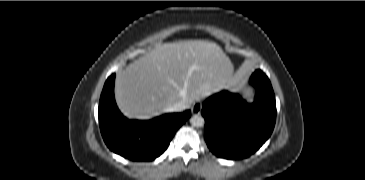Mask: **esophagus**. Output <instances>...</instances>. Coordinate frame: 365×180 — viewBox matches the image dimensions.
Here are the masks:
<instances>
[{"instance_id": "esophagus-1", "label": "esophagus", "mask_w": 365, "mask_h": 180, "mask_svg": "<svg viewBox=\"0 0 365 180\" xmlns=\"http://www.w3.org/2000/svg\"><path fill=\"white\" fill-rule=\"evenodd\" d=\"M202 110V104L200 102H196L191 106V112L194 115H199Z\"/></svg>"}]
</instances>
